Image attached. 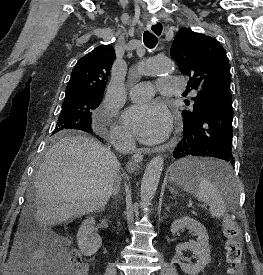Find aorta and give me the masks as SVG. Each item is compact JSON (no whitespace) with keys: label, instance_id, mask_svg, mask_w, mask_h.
<instances>
[{"label":"aorta","instance_id":"obj_1","mask_svg":"<svg viewBox=\"0 0 263 275\" xmlns=\"http://www.w3.org/2000/svg\"><path fill=\"white\" fill-rule=\"evenodd\" d=\"M173 63L168 59H150L143 62L138 71L140 74L153 75L170 73L173 71ZM164 159L158 155L154 157L147 165L140 188L141 206L146 207L155 196L160 176L163 170Z\"/></svg>","mask_w":263,"mask_h":275}]
</instances>
